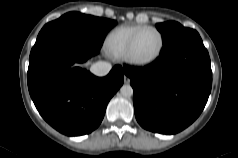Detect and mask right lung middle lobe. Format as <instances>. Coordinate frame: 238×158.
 Masks as SVG:
<instances>
[{"mask_svg": "<svg viewBox=\"0 0 238 158\" xmlns=\"http://www.w3.org/2000/svg\"><path fill=\"white\" fill-rule=\"evenodd\" d=\"M116 24V21L85 15L79 12H69L59 19L47 23L37 38L49 32H69L91 45L101 48L107 32Z\"/></svg>", "mask_w": 238, "mask_h": 158, "instance_id": "right-lung-middle-lobe-1", "label": "right lung middle lobe"}]
</instances>
